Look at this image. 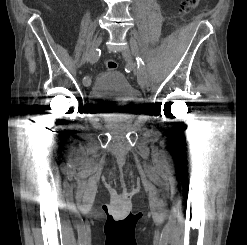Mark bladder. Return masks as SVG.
<instances>
[{
  "mask_svg": "<svg viewBox=\"0 0 247 245\" xmlns=\"http://www.w3.org/2000/svg\"><path fill=\"white\" fill-rule=\"evenodd\" d=\"M88 100L99 113H131L141 105L139 92L117 70H107L97 75L89 89Z\"/></svg>",
  "mask_w": 247,
  "mask_h": 245,
  "instance_id": "obj_1",
  "label": "bladder"
}]
</instances>
